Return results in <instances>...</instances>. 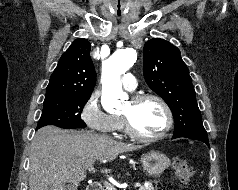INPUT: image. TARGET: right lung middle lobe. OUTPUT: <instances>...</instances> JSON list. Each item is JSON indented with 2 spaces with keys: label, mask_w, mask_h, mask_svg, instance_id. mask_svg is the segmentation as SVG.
<instances>
[{
  "label": "right lung middle lobe",
  "mask_w": 238,
  "mask_h": 190,
  "mask_svg": "<svg viewBox=\"0 0 238 190\" xmlns=\"http://www.w3.org/2000/svg\"><path fill=\"white\" fill-rule=\"evenodd\" d=\"M89 98V95L45 98L36 130L46 125H56L65 129L86 127L80 113Z\"/></svg>",
  "instance_id": "right-lung-middle-lobe-1"
}]
</instances>
